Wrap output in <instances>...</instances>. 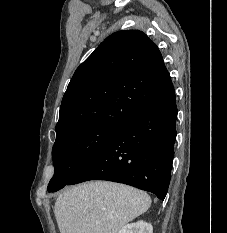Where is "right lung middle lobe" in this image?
I'll return each instance as SVG.
<instances>
[{"mask_svg":"<svg viewBox=\"0 0 227 233\" xmlns=\"http://www.w3.org/2000/svg\"><path fill=\"white\" fill-rule=\"evenodd\" d=\"M117 130L107 126H84L56 135L52 149L55 172L49 182L48 192L66 186Z\"/></svg>","mask_w":227,"mask_h":233,"instance_id":"1","label":"right lung middle lobe"}]
</instances>
